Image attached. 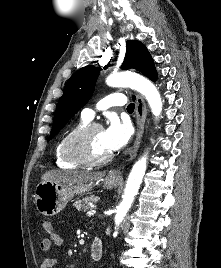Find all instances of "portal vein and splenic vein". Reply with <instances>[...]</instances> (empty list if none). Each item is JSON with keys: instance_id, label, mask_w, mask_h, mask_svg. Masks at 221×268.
<instances>
[{"instance_id": "obj_1", "label": "portal vein and splenic vein", "mask_w": 221, "mask_h": 268, "mask_svg": "<svg viewBox=\"0 0 221 268\" xmlns=\"http://www.w3.org/2000/svg\"><path fill=\"white\" fill-rule=\"evenodd\" d=\"M96 213V210L95 209H90L89 211H87V213H86V215L87 216H92V215H94Z\"/></svg>"}]
</instances>
